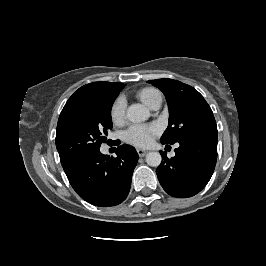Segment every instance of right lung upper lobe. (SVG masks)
<instances>
[{
    "label": "right lung upper lobe",
    "mask_w": 266,
    "mask_h": 266,
    "mask_svg": "<svg viewBox=\"0 0 266 266\" xmlns=\"http://www.w3.org/2000/svg\"><path fill=\"white\" fill-rule=\"evenodd\" d=\"M123 84L122 83H114V82H94L90 84H86L80 87L77 91H75L72 96L66 102L63 110L61 111L60 117H62L66 112L77 106L78 104L88 100L89 98L111 90H122ZM59 117V118H60ZM77 162H62L63 169L66 174H68L73 167L76 165Z\"/></svg>",
    "instance_id": "obj_1"
}]
</instances>
